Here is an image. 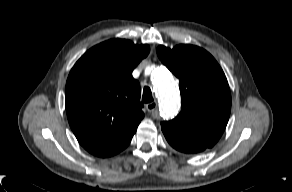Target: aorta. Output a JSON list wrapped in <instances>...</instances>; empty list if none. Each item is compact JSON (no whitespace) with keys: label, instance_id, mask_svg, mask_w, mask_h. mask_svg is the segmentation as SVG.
<instances>
[{"label":"aorta","instance_id":"obj_1","mask_svg":"<svg viewBox=\"0 0 292 192\" xmlns=\"http://www.w3.org/2000/svg\"><path fill=\"white\" fill-rule=\"evenodd\" d=\"M152 80L162 115L166 118L175 116L180 106V95L171 73L165 67L158 66L152 73Z\"/></svg>","mask_w":292,"mask_h":192}]
</instances>
